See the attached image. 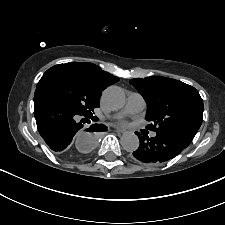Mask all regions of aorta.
Masks as SVG:
<instances>
[{
  "mask_svg": "<svg viewBox=\"0 0 225 225\" xmlns=\"http://www.w3.org/2000/svg\"><path fill=\"white\" fill-rule=\"evenodd\" d=\"M103 101L108 108L118 110L125 105L126 96L120 87L111 86L104 91ZM120 141L123 149L128 152L135 151L139 147V139L133 132H125Z\"/></svg>",
  "mask_w": 225,
  "mask_h": 225,
  "instance_id": "1",
  "label": "aorta"
}]
</instances>
